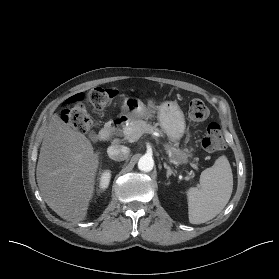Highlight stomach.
<instances>
[{
	"label": "stomach",
	"mask_w": 279,
	"mask_h": 279,
	"mask_svg": "<svg viewBox=\"0 0 279 279\" xmlns=\"http://www.w3.org/2000/svg\"><path fill=\"white\" fill-rule=\"evenodd\" d=\"M133 102V104H131ZM157 117L162 131L175 143L180 140L185 132V118L182 110L175 101H166L157 108ZM147 109L143 102L137 98L127 97L122 105V116L128 122L145 118ZM177 156L183 158L184 155L177 151Z\"/></svg>",
	"instance_id": "1"
}]
</instances>
